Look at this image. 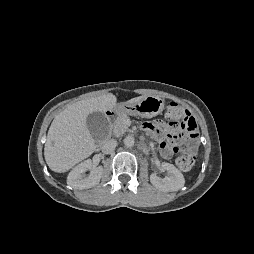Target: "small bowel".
Wrapping results in <instances>:
<instances>
[{"label": "small bowel", "mask_w": 254, "mask_h": 254, "mask_svg": "<svg viewBox=\"0 0 254 254\" xmlns=\"http://www.w3.org/2000/svg\"><path fill=\"white\" fill-rule=\"evenodd\" d=\"M143 128L159 142L160 152L163 158L169 159L173 154L172 146L169 141L177 143L182 141L179 137L178 130L173 127H167L165 133L160 129V125L155 122H147Z\"/></svg>", "instance_id": "small-bowel-1"}]
</instances>
